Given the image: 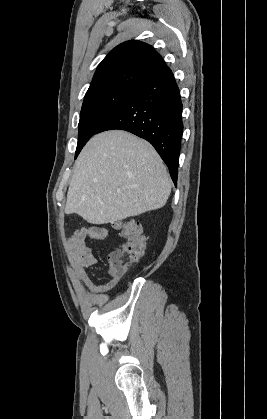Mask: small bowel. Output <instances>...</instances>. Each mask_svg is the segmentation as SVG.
Returning <instances> with one entry per match:
<instances>
[{
	"instance_id": "small-bowel-1",
	"label": "small bowel",
	"mask_w": 267,
	"mask_h": 419,
	"mask_svg": "<svg viewBox=\"0 0 267 419\" xmlns=\"http://www.w3.org/2000/svg\"><path fill=\"white\" fill-rule=\"evenodd\" d=\"M107 231L101 225H91L76 230L68 238L67 247L70 263L75 277L83 283L87 290L94 295H104L111 291L118 283L119 277L109 273L111 279L105 284H96L89 276V268L97 263L92 248L87 239L104 240Z\"/></svg>"
}]
</instances>
